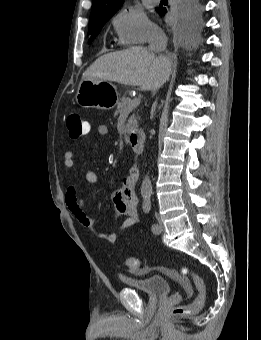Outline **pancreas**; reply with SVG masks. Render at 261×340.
Wrapping results in <instances>:
<instances>
[{
    "label": "pancreas",
    "mask_w": 261,
    "mask_h": 340,
    "mask_svg": "<svg viewBox=\"0 0 261 340\" xmlns=\"http://www.w3.org/2000/svg\"><path fill=\"white\" fill-rule=\"evenodd\" d=\"M131 99L128 97H123L121 99L120 102H118L117 105V110H116V115L118 114H125L128 115L130 112H132L133 109H129V103H130ZM138 127V121L137 118L135 117V115H132L126 125H125V129L124 132L125 133H129L130 131H132L133 129H136Z\"/></svg>",
    "instance_id": "pancreas-1"
}]
</instances>
